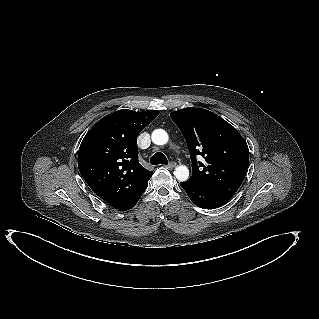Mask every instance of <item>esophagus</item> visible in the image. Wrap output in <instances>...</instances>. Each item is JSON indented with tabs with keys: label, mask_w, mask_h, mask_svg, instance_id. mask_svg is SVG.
I'll return each mask as SVG.
<instances>
[{
	"label": "esophagus",
	"mask_w": 319,
	"mask_h": 319,
	"mask_svg": "<svg viewBox=\"0 0 319 319\" xmlns=\"http://www.w3.org/2000/svg\"><path fill=\"white\" fill-rule=\"evenodd\" d=\"M175 166H176V163H175L174 161H170V163H168V164L166 165V167L169 168V169H172V168H174Z\"/></svg>",
	"instance_id": "1"
}]
</instances>
